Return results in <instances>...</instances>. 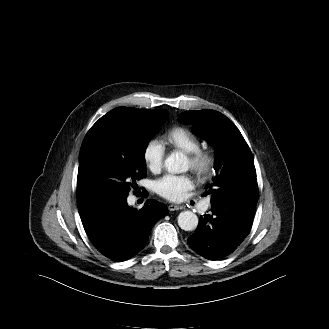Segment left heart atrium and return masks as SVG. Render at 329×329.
I'll list each match as a JSON object with an SVG mask.
<instances>
[{"label":"left heart atrium","instance_id":"left-heart-atrium-1","mask_svg":"<svg viewBox=\"0 0 329 329\" xmlns=\"http://www.w3.org/2000/svg\"><path fill=\"white\" fill-rule=\"evenodd\" d=\"M194 186L190 175L166 174L155 182V191L163 198L177 202L185 199Z\"/></svg>","mask_w":329,"mask_h":329}]
</instances>
